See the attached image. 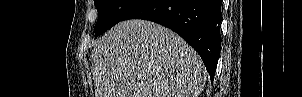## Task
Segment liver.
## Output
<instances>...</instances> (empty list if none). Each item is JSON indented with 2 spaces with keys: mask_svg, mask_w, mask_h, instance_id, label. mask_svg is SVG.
<instances>
[{
  "mask_svg": "<svg viewBox=\"0 0 302 97\" xmlns=\"http://www.w3.org/2000/svg\"><path fill=\"white\" fill-rule=\"evenodd\" d=\"M95 97H198L207 74L179 35L145 20L119 22L92 53Z\"/></svg>",
  "mask_w": 302,
  "mask_h": 97,
  "instance_id": "obj_1",
  "label": "liver"
}]
</instances>
